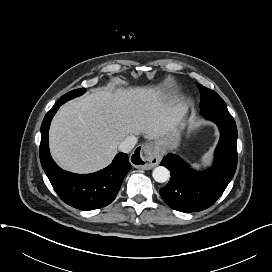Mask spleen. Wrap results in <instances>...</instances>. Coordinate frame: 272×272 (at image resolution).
<instances>
[{
    "instance_id": "1",
    "label": "spleen",
    "mask_w": 272,
    "mask_h": 272,
    "mask_svg": "<svg viewBox=\"0 0 272 272\" xmlns=\"http://www.w3.org/2000/svg\"><path fill=\"white\" fill-rule=\"evenodd\" d=\"M193 165V167H196V168H199L200 167V164H197V163H194V164H192Z\"/></svg>"
}]
</instances>
